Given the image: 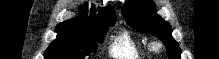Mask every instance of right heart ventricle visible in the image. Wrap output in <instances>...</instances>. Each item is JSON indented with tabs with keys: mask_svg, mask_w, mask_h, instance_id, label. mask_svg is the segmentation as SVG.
I'll list each match as a JSON object with an SVG mask.
<instances>
[{
	"mask_svg": "<svg viewBox=\"0 0 219 59\" xmlns=\"http://www.w3.org/2000/svg\"><path fill=\"white\" fill-rule=\"evenodd\" d=\"M150 50L146 42L135 39L129 31L122 30L112 41L109 54L114 59H141Z\"/></svg>",
	"mask_w": 219,
	"mask_h": 59,
	"instance_id": "right-heart-ventricle-1",
	"label": "right heart ventricle"
}]
</instances>
